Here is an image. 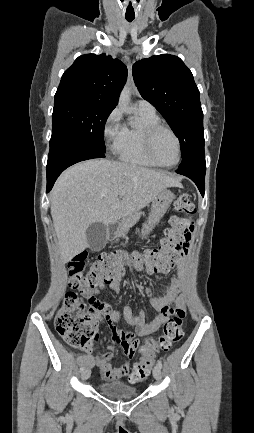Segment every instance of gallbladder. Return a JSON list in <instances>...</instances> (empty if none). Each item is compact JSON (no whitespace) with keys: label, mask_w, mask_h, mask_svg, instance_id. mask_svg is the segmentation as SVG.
<instances>
[{"label":"gallbladder","mask_w":254,"mask_h":433,"mask_svg":"<svg viewBox=\"0 0 254 433\" xmlns=\"http://www.w3.org/2000/svg\"><path fill=\"white\" fill-rule=\"evenodd\" d=\"M88 248L93 251L102 250L107 243V228L101 222H95L89 225L86 231Z\"/></svg>","instance_id":"bac80fb5"}]
</instances>
